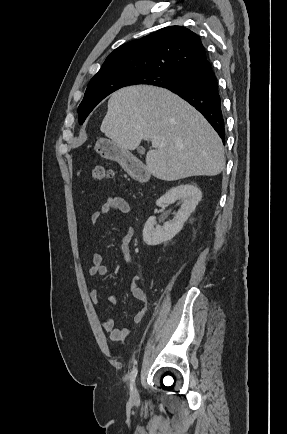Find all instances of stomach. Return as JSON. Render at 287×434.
Returning <instances> with one entry per match:
<instances>
[{
    "mask_svg": "<svg viewBox=\"0 0 287 434\" xmlns=\"http://www.w3.org/2000/svg\"><path fill=\"white\" fill-rule=\"evenodd\" d=\"M95 149L103 158L116 161L123 167H128V162L133 157L128 150L107 139H99Z\"/></svg>",
    "mask_w": 287,
    "mask_h": 434,
    "instance_id": "obj_1",
    "label": "stomach"
}]
</instances>
